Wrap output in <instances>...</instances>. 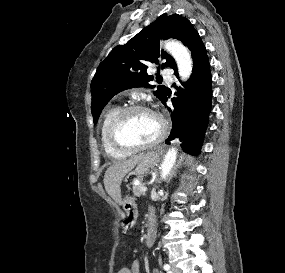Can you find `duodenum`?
Here are the masks:
<instances>
[{
	"instance_id": "duodenum-1",
	"label": "duodenum",
	"mask_w": 285,
	"mask_h": 273,
	"mask_svg": "<svg viewBox=\"0 0 285 273\" xmlns=\"http://www.w3.org/2000/svg\"><path fill=\"white\" fill-rule=\"evenodd\" d=\"M156 237V220L153 214L149 215V228L145 235V243L147 246L153 244Z\"/></svg>"
}]
</instances>
